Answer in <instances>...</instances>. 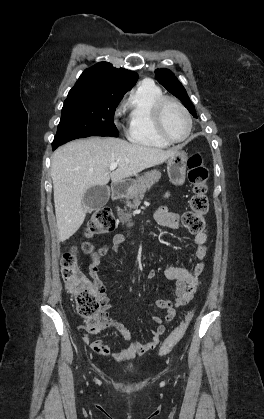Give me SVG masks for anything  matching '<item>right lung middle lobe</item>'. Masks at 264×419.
Masks as SVG:
<instances>
[{
    "mask_svg": "<svg viewBox=\"0 0 264 419\" xmlns=\"http://www.w3.org/2000/svg\"><path fill=\"white\" fill-rule=\"evenodd\" d=\"M123 95L71 89L52 147L89 136L118 137L114 113Z\"/></svg>",
    "mask_w": 264,
    "mask_h": 419,
    "instance_id": "obj_1",
    "label": "right lung middle lobe"
}]
</instances>
